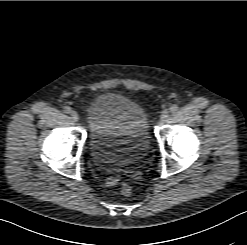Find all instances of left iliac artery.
Returning <instances> with one entry per match:
<instances>
[{
    "mask_svg": "<svg viewBox=\"0 0 247 245\" xmlns=\"http://www.w3.org/2000/svg\"><path fill=\"white\" fill-rule=\"evenodd\" d=\"M177 110H178V106H177L176 104H173V105L170 107V112H171V113H175Z\"/></svg>",
    "mask_w": 247,
    "mask_h": 245,
    "instance_id": "44dca946",
    "label": "left iliac artery"
}]
</instances>
